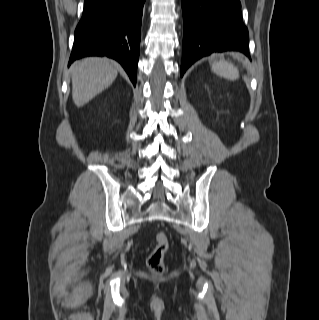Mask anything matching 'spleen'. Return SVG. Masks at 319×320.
I'll list each match as a JSON object with an SVG mask.
<instances>
[{"label":"spleen","instance_id":"spleen-1","mask_svg":"<svg viewBox=\"0 0 319 320\" xmlns=\"http://www.w3.org/2000/svg\"><path fill=\"white\" fill-rule=\"evenodd\" d=\"M211 68L214 73L225 79L234 81L239 78L238 69L230 62L216 61L211 65Z\"/></svg>","mask_w":319,"mask_h":320}]
</instances>
